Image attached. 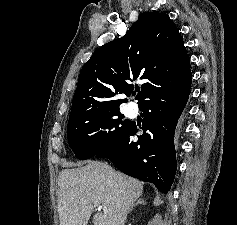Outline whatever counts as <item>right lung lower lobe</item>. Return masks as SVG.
<instances>
[{
	"label": "right lung lower lobe",
	"mask_w": 237,
	"mask_h": 225,
	"mask_svg": "<svg viewBox=\"0 0 237 225\" xmlns=\"http://www.w3.org/2000/svg\"><path fill=\"white\" fill-rule=\"evenodd\" d=\"M191 80L183 84L165 83L139 104L145 113L138 141H132L138 128L130 123L121 137L94 157L109 158L118 169L167 194L177 169L174 133L190 94Z\"/></svg>",
	"instance_id": "1"
}]
</instances>
